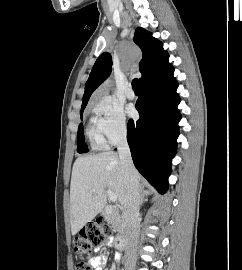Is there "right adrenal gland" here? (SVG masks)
<instances>
[{
	"instance_id": "right-adrenal-gland-1",
	"label": "right adrenal gland",
	"mask_w": 242,
	"mask_h": 270,
	"mask_svg": "<svg viewBox=\"0 0 242 270\" xmlns=\"http://www.w3.org/2000/svg\"><path fill=\"white\" fill-rule=\"evenodd\" d=\"M146 195H148V191L143 188L140 189V203L144 201Z\"/></svg>"
}]
</instances>
